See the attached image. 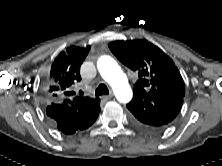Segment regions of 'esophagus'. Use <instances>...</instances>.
Segmentation results:
<instances>
[{"mask_svg": "<svg viewBox=\"0 0 222 166\" xmlns=\"http://www.w3.org/2000/svg\"><path fill=\"white\" fill-rule=\"evenodd\" d=\"M111 98H112V94L111 95L102 96V99H104V100H110Z\"/></svg>", "mask_w": 222, "mask_h": 166, "instance_id": "1", "label": "esophagus"}]
</instances>
